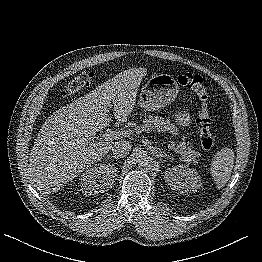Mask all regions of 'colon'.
Returning a JSON list of instances; mask_svg holds the SVG:
<instances>
[{"label":"colon","instance_id":"5ec220e1","mask_svg":"<svg viewBox=\"0 0 262 262\" xmlns=\"http://www.w3.org/2000/svg\"><path fill=\"white\" fill-rule=\"evenodd\" d=\"M93 74H81L71 80L65 89L62 91L63 96H71L81 89L87 88L91 85ZM178 82L192 90L197 100L200 103V111L196 120L200 142L205 150H211L215 147L216 141L211 134V116L209 108V93L207 85L200 75L191 73H184L178 77Z\"/></svg>","mask_w":262,"mask_h":262}]
</instances>
